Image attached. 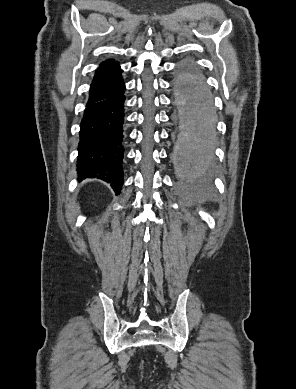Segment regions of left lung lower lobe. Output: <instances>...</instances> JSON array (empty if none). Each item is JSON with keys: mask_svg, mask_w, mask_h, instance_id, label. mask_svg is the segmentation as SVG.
Masks as SVG:
<instances>
[{"mask_svg": "<svg viewBox=\"0 0 296 389\" xmlns=\"http://www.w3.org/2000/svg\"><path fill=\"white\" fill-rule=\"evenodd\" d=\"M187 100V110L192 115L190 131L184 136V147L181 163L185 171L201 172L209 165L212 157L211 131V98L202 83L183 90Z\"/></svg>", "mask_w": 296, "mask_h": 389, "instance_id": "0a47b994", "label": "left lung lower lobe"}]
</instances>
